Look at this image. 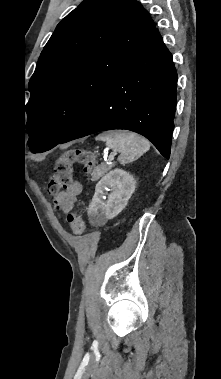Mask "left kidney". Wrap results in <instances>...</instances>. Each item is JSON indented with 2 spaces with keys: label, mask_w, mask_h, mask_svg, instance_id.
I'll list each match as a JSON object with an SVG mask.
<instances>
[{
  "label": "left kidney",
  "mask_w": 221,
  "mask_h": 379,
  "mask_svg": "<svg viewBox=\"0 0 221 379\" xmlns=\"http://www.w3.org/2000/svg\"><path fill=\"white\" fill-rule=\"evenodd\" d=\"M135 187V179L124 170L116 168L106 174L96 184L95 194L88 208L90 223L101 225L116 217L126 207ZM106 190H110L111 193L104 201Z\"/></svg>",
  "instance_id": "5707ae66"
}]
</instances>
